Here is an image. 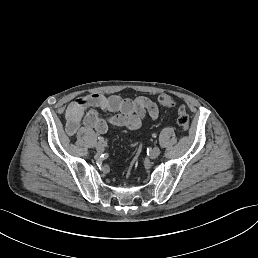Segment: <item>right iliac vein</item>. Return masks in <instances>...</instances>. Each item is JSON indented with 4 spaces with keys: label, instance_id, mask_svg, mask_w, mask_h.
Masks as SVG:
<instances>
[{
    "label": "right iliac vein",
    "instance_id": "right-iliac-vein-1",
    "mask_svg": "<svg viewBox=\"0 0 258 258\" xmlns=\"http://www.w3.org/2000/svg\"><path fill=\"white\" fill-rule=\"evenodd\" d=\"M95 148H96V151L98 153H103L105 151L104 150V145L101 142H96L95 143Z\"/></svg>",
    "mask_w": 258,
    "mask_h": 258
}]
</instances>
